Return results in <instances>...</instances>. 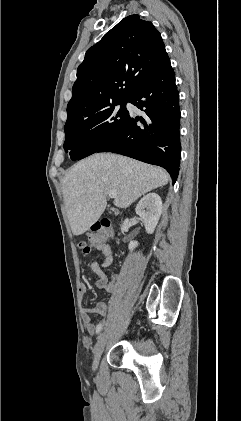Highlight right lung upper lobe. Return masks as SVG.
<instances>
[{"instance_id":"obj_1","label":"right lung upper lobe","mask_w":241,"mask_h":421,"mask_svg":"<svg viewBox=\"0 0 241 421\" xmlns=\"http://www.w3.org/2000/svg\"><path fill=\"white\" fill-rule=\"evenodd\" d=\"M167 56L151 22L138 15L121 20L87 50L79 65L65 127L128 100Z\"/></svg>"}]
</instances>
